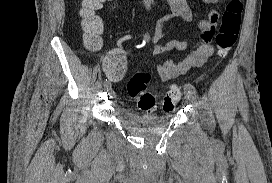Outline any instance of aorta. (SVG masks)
Returning <instances> with one entry per match:
<instances>
[{
  "instance_id": "1",
  "label": "aorta",
  "mask_w": 272,
  "mask_h": 183,
  "mask_svg": "<svg viewBox=\"0 0 272 183\" xmlns=\"http://www.w3.org/2000/svg\"><path fill=\"white\" fill-rule=\"evenodd\" d=\"M143 3L146 7L147 10H150L151 9V5L153 3V0H143Z\"/></svg>"
}]
</instances>
